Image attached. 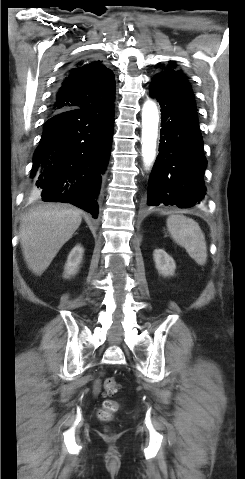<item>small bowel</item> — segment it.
<instances>
[{
	"label": "small bowel",
	"instance_id": "1",
	"mask_svg": "<svg viewBox=\"0 0 245 479\" xmlns=\"http://www.w3.org/2000/svg\"><path fill=\"white\" fill-rule=\"evenodd\" d=\"M100 392H101L100 380H97L94 385V393L98 395L100 394Z\"/></svg>",
	"mask_w": 245,
	"mask_h": 479
}]
</instances>
